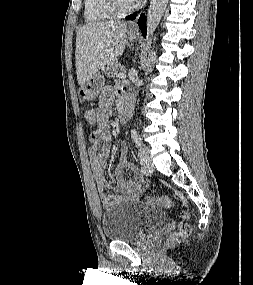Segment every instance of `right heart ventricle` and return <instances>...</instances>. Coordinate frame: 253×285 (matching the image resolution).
<instances>
[{
    "label": "right heart ventricle",
    "mask_w": 253,
    "mask_h": 285,
    "mask_svg": "<svg viewBox=\"0 0 253 285\" xmlns=\"http://www.w3.org/2000/svg\"><path fill=\"white\" fill-rule=\"evenodd\" d=\"M84 17L88 22H103L116 17L106 0H84Z\"/></svg>",
    "instance_id": "right-heart-ventricle-1"
}]
</instances>
